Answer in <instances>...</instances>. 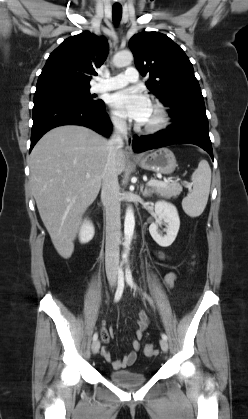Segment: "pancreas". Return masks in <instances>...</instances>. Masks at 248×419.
<instances>
[{"instance_id":"pancreas-1","label":"pancreas","mask_w":248,"mask_h":419,"mask_svg":"<svg viewBox=\"0 0 248 419\" xmlns=\"http://www.w3.org/2000/svg\"><path fill=\"white\" fill-rule=\"evenodd\" d=\"M182 191V187L177 183H168L166 186H153L152 192H155L156 194L170 199V198H176L180 195Z\"/></svg>"}]
</instances>
